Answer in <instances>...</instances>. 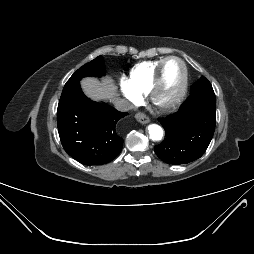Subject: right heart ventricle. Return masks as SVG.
<instances>
[{
	"mask_svg": "<svg viewBox=\"0 0 254 254\" xmlns=\"http://www.w3.org/2000/svg\"><path fill=\"white\" fill-rule=\"evenodd\" d=\"M164 58L144 61L136 64L129 73L131 86L140 94L145 95L151 86L155 71Z\"/></svg>",
	"mask_w": 254,
	"mask_h": 254,
	"instance_id": "1",
	"label": "right heart ventricle"
}]
</instances>
